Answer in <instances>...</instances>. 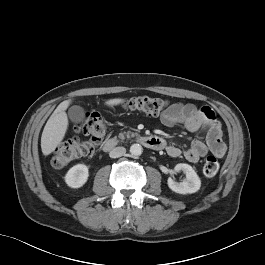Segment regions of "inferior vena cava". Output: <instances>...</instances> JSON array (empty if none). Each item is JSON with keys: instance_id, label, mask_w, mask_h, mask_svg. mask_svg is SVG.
Segmentation results:
<instances>
[{"instance_id": "obj_1", "label": "inferior vena cava", "mask_w": 265, "mask_h": 265, "mask_svg": "<svg viewBox=\"0 0 265 265\" xmlns=\"http://www.w3.org/2000/svg\"><path fill=\"white\" fill-rule=\"evenodd\" d=\"M126 153V149L124 147H116L112 149L109 153L111 158H118L123 156Z\"/></svg>"}]
</instances>
